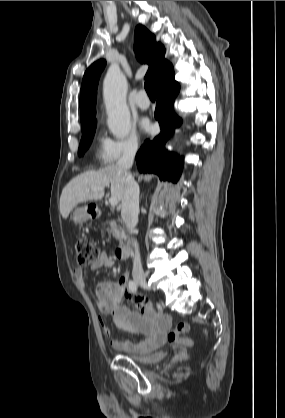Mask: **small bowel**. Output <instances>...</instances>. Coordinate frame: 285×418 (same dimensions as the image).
I'll return each mask as SVG.
<instances>
[{"label":"small bowel","instance_id":"c3829d8e","mask_svg":"<svg viewBox=\"0 0 285 418\" xmlns=\"http://www.w3.org/2000/svg\"><path fill=\"white\" fill-rule=\"evenodd\" d=\"M90 267L93 270L101 267L112 268L114 267V260L108 254L102 252ZM75 274L78 280L82 282L85 280L83 268H78ZM94 298L101 314L99 316V322L105 335L109 336L111 329L102 315L110 316L113 323L126 332L151 333L153 329L155 330L154 336L145 342L135 343L130 340H112L111 346L113 349L126 352L152 351L160 348L167 342L166 336L171 328V319L169 316L153 315L149 305H143V314L131 309L128 304V302L143 304L142 300L137 299L133 291L129 288L128 273L121 276L118 283L110 281L99 283L95 289ZM188 340V346L191 347L193 341Z\"/></svg>","mask_w":285,"mask_h":418}]
</instances>
